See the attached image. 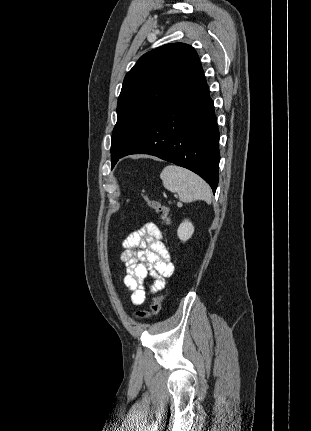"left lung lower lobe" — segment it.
Returning <instances> with one entry per match:
<instances>
[{
	"label": "left lung lower lobe",
	"mask_w": 311,
	"mask_h": 431,
	"mask_svg": "<svg viewBox=\"0 0 311 431\" xmlns=\"http://www.w3.org/2000/svg\"><path fill=\"white\" fill-rule=\"evenodd\" d=\"M219 131L214 104L202 67L162 107L145 132L118 160L130 154H150L185 167L212 188L218 185Z\"/></svg>",
	"instance_id": "obj_1"
}]
</instances>
